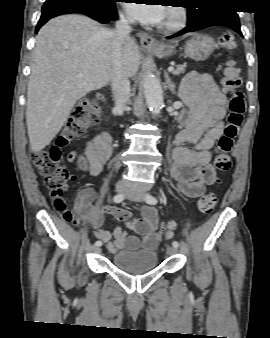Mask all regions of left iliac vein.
<instances>
[{
	"label": "left iliac vein",
	"instance_id": "4c4485c4",
	"mask_svg": "<svg viewBox=\"0 0 270 338\" xmlns=\"http://www.w3.org/2000/svg\"><path fill=\"white\" fill-rule=\"evenodd\" d=\"M145 192L144 191H138V190H127L125 192V196L133 201L142 202L145 199ZM177 252V249L173 246H169L166 249V253L168 256H171Z\"/></svg>",
	"mask_w": 270,
	"mask_h": 338
}]
</instances>
